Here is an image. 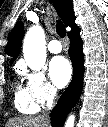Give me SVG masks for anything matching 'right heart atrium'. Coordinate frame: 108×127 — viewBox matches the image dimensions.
Instances as JSON below:
<instances>
[{
	"instance_id": "d8ad5b80",
	"label": "right heart atrium",
	"mask_w": 108,
	"mask_h": 127,
	"mask_svg": "<svg viewBox=\"0 0 108 127\" xmlns=\"http://www.w3.org/2000/svg\"><path fill=\"white\" fill-rule=\"evenodd\" d=\"M25 77L27 88L38 105H44L52 101L56 96V89L47 80L41 71L22 70Z\"/></svg>"
}]
</instances>
